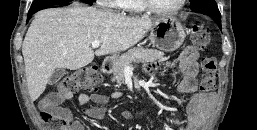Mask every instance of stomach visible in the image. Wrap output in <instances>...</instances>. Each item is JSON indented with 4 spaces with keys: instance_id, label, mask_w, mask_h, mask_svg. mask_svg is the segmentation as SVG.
<instances>
[{
    "instance_id": "0dacf381",
    "label": "stomach",
    "mask_w": 257,
    "mask_h": 130,
    "mask_svg": "<svg viewBox=\"0 0 257 130\" xmlns=\"http://www.w3.org/2000/svg\"><path fill=\"white\" fill-rule=\"evenodd\" d=\"M185 36L183 26L176 18L165 17L153 25L149 39L158 49L173 52L183 44Z\"/></svg>"
}]
</instances>
